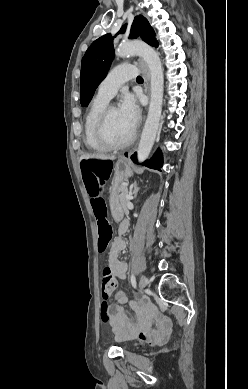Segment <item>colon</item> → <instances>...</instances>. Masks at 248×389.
<instances>
[{"label": "colon", "instance_id": "1", "mask_svg": "<svg viewBox=\"0 0 248 389\" xmlns=\"http://www.w3.org/2000/svg\"><path fill=\"white\" fill-rule=\"evenodd\" d=\"M81 162L84 167V183L90 199L92 210L97 219L98 225V252H106L113 235V229L107 219L106 204L103 192H105V182H109L110 172L113 171V162L110 157H82ZM117 287V282L113 277L110 267L106 266L101 275V319L104 324L110 322L108 299ZM127 291L118 288L114 292L113 299L123 301L127 298Z\"/></svg>", "mask_w": 248, "mask_h": 389}]
</instances>
